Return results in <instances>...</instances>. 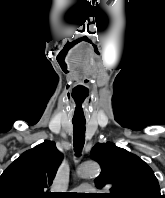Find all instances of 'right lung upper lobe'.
I'll return each mask as SVG.
<instances>
[{"mask_svg": "<svg viewBox=\"0 0 165 198\" xmlns=\"http://www.w3.org/2000/svg\"><path fill=\"white\" fill-rule=\"evenodd\" d=\"M62 155L53 141H45L21 154L0 176V198H51Z\"/></svg>", "mask_w": 165, "mask_h": 198, "instance_id": "obj_1", "label": "right lung upper lobe"}]
</instances>
